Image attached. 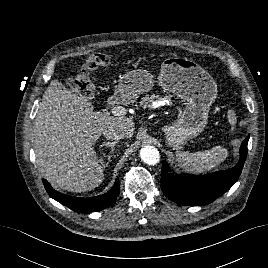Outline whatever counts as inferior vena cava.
Wrapping results in <instances>:
<instances>
[{
	"mask_svg": "<svg viewBox=\"0 0 268 268\" xmlns=\"http://www.w3.org/2000/svg\"><path fill=\"white\" fill-rule=\"evenodd\" d=\"M103 135L109 140H120L126 135L125 130L119 126H109L103 131Z\"/></svg>",
	"mask_w": 268,
	"mask_h": 268,
	"instance_id": "obj_1",
	"label": "inferior vena cava"
}]
</instances>
